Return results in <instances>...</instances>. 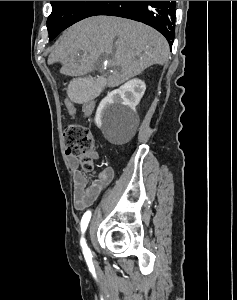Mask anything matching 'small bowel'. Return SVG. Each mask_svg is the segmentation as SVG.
<instances>
[{"label":"small bowel","mask_w":237,"mask_h":300,"mask_svg":"<svg viewBox=\"0 0 237 300\" xmlns=\"http://www.w3.org/2000/svg\"><path fill=\"white\" fill-rule=\"evenodd\" d=\"M94 101H85L82 103V109L85 115H90L94 110ZM87 155L93 160L98 158V152L94 147L87 152ZM73 175V202L74 208L83 211L90 207L107 188L115 177L112 167L103 168L96 175L95 179L89 182L86 175L79 169V160L76 156H70L68 159Z\"/></svg>","instance_id":"c3829d8e"}]
</instances>
